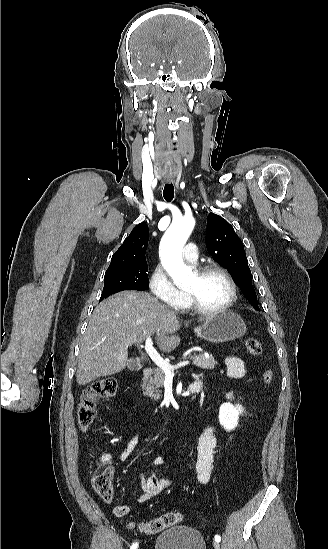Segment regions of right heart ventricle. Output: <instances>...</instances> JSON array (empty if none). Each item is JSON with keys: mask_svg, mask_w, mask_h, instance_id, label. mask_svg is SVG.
Instances as JSON below:
<instances>
[{"mask_svg": "<svg viewBox=\"0 0 328 549\" xmlns=\"http://www.w3.org/2000/svg\"><path fill=\"white\" fill-rule=\"evenodd\" d=\"M171 303H179V310L187 308V299L182 289H177V296Z\"/></svg>", "mask_w": 328, "mask_h": 549, "instance_id": "e07e8e85", "label": "right heart ventricle"}]
</instances>
